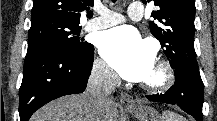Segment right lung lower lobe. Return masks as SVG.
Listing matches in <instances>:
<instances>
[{
    "label": "right lung lower lobe",
    "mask_w": 217,
    "mask_h": 121,
    "mask_svg": "<svg viewBox=\"0 0 217 121\" xmlns=\"http://www.w3.org/2000/svg\"><path fill=\"white\" fill-rule=\"evenodd\" d=\"M93 58V45L81 55L57 50L28 53L19 90L20 121H28L37 109L53 99L82 93L91 73Z\"/></svg>",
    "instance_id": "98d812e1"
}]
</instances>
